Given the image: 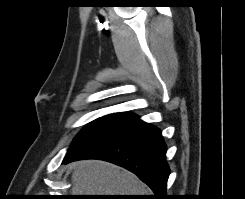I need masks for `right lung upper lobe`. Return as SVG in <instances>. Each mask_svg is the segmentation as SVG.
Wrapping results in <instances>:
<instances>
[{
    "label": "right lung upper lobe",
    "mask_w": 245,
    "mask_h": 199,
    "mask_svg": "<svg viewBox=\"0 0 245 199\" xmlns=\"http://www.w3.org/2000/svg\"><path fill=\"white\" fill-rule=\"evenodd\" d=\"M117 115H124L126 116L127 118L131 117V116H134L132 113H116Z\"/></svg>",
    "instance_id": "1"
}]
</instances>
